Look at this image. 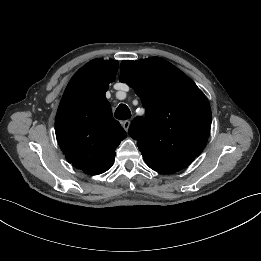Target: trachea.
<instances>
[{"label": "trachea", "instance_id": "obj_1", "mask_svg": "<svg viewBox=\"0 0 261 261\" xmlns=\"http://www.w3.org/2000/svg\"><path fill=\"white\" fill-rule=\"evenodd\" d=\"M114 117L119 120H127L131 117L130 109L125 104H120L115 111Z\"/></svg>", "mask_w": 261, "mask_h": 261}]
</instances>
